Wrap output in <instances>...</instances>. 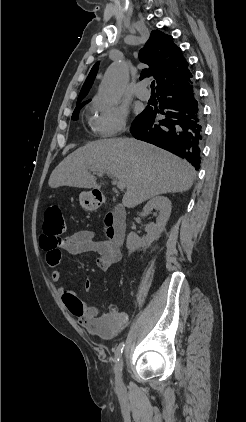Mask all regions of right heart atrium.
I'll use <instances>...</instances> for the list:
<instances>
[{"label": "right heart atrium", "instance_id": "obj_1", "mask_svg": "<svg viewBox=\"0 0 246 422\" xmlns=\"http://www.w3.org/2000/svg\"><path fill=\"white\" fill-rule=\"evenodd\" d=\"M90 125L101 138H111L122 133L126 126L127 112L124 108L95 99L91 105Z\"/></svg>", "mask_w": 246, "mask_h": 422}]
</instances>
